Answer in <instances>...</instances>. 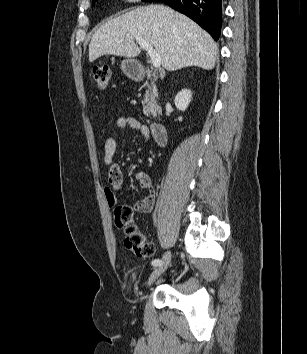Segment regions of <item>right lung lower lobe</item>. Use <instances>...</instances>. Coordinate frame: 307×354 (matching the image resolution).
I'll list each match as a JSON object with an SVG mask.
<instances>
[{
    "label": "right lung lower lobe",
    "instance_id": "1",
    "mask_svg": "<svg viewBox=\"0 0 307 354\" xmlns=\"http://www.w3.org/2000/svg\"><path fill=\"white\" fill-rule=\"evenodd\" d=\"M161 1L190 17L204 28L214 40H218L222 26V0Z\"/></svg>",
    "mask_w": 307,
    "mask_h": 354
}]
</instances>
